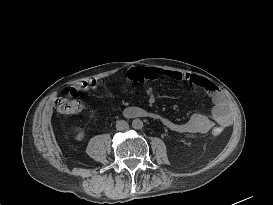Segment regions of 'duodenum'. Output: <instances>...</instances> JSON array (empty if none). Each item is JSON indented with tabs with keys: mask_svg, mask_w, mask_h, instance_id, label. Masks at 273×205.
Segmentation results:
<instances>
[{
	"mask_svg": "<svg viewBox=\"0 0 273 205\" xmlns=\"http://www.w3.org/2000/svg\"><path fill=\"white\" fill-rule=\"evenodd\" d=\"M125 112H126V114H128V111H127V110H126ZM141 115H142V113H141V112H138V114L135 115V116H141Z\"/></svg>",
	"mask_w": 273,
	"mask_h": 205,
	"instance_id": "410a0bca",
	"label": "duodenum"
}]
</instances>
